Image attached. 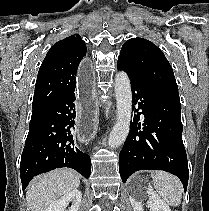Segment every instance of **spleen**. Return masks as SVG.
I'll return each instance as SVG.
<instances>
[{
  "label": "spleen",
  "instance_id": "obj_1",
  "mask_svg": "<svg viewBox=\"0 0 209 211\" xmlns=\"http://www.w3.org/2000/svg\"><path fill=\"white\" fill-rule=\"evenodd\" d=\"M153 183L157 193L168 205L174 207L180 205L183 186L176 176L164 171H156L153 175Z\"/></svg>",
  "mask_w": 209,
  "mask_h": 211
}]
</instances>
